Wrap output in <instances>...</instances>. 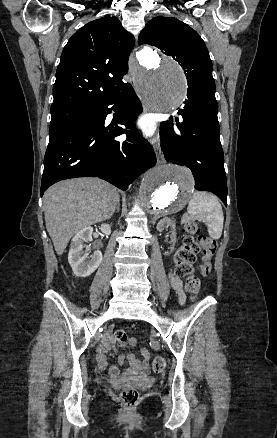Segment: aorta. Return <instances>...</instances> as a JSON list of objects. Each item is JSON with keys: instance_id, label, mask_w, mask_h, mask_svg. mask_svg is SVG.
<instances>
[{"instance_id": "aorta-1", "label": "aorta", "mask_w": 277, "mask_h": 438, "mask_svg": "<svg viewBox=\"0 0 277 438\" xmlns=\"http://www.w3.org/2000/svg\"><path fill=\"white\" fill-rule=\"evenodd\" d=\"M133 70L137 90L153 110L168 112L186 97V80L178 63L149 48L138 54ZM194 190L191 172L173 164L159 165L148 171L141 182L139 198L151 221L182 210Z\"/></svg>"}]
</instances>
